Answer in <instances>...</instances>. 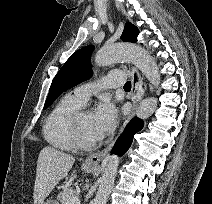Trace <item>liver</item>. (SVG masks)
Listing matches in <instances>:
<instances>
[{"instance_id":"6515ba94","label":"liver","mask_w":212,"mask_h":204,"mask_svg":"<svg viewBox=\"0 0 212 204\" xmlns=\"http://www.w3.org/2000/svg\"><path fill=\"white\" fill-rule=\"evenodd\" d=\"M75 158L53 147H44L38 156L34 184V204H43L60 180L68 175Z\"/></svg>"}]
</instances>
